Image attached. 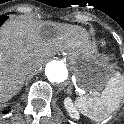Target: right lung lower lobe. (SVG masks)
Returning <instances> with one entry per match:
<instances>
[{"mask_svg": "<svg viewBox=\"0 0 124 124\" xmlns=\"http://www.w3.org/2000/svg\"><path fill=\"white\" fill-rule=\"evenodd\" d=\"M8 19L7 16H4V17H0V26ZM8 111H5L4 113H6Z\"/></svg>", "mask_w": 124, "mask_h": 124, "instance_id": "obj_1", "label": "right lung lower lobe"}]
</instances>
